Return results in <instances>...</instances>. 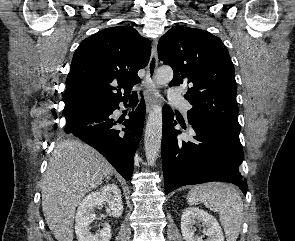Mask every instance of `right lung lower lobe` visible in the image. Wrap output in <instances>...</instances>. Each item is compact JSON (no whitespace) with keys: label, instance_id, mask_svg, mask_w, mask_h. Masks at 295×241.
<instances>
[{"label":"right lung lower lobe","instance_id":"98d812e1","mask_svg":"<svg viewBox=\"0 0 295 241\" xmlns=\"http://www.w3.org/2000/svg\"><path fill=\"white\" fill-rule=\"evenodd\" d=\"M128 98L82 110L66 119L65 132L71 133L98 150L124 177L130 180L134 169L133 156L140 139L145 117V102L129 113V119L114 120L112 113ZM118 123L126 128L119 129Z\"/></svg>","mask_w":295,"mask_h":241}]
</instances>
